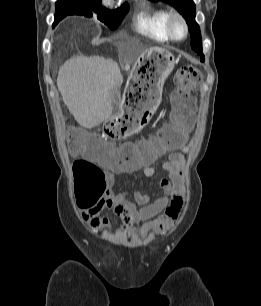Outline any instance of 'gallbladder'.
<instances>
[{
	"mask_svg": "<svg viewBox=\"0 0 261 306\" xmlns=\"http://www.w3.org/2000/svg\"><path fill=\"white\" fill-rule=\"evenodd\" d=\"M120 102V94L118 91L113 90L112 91V103L113 105H116Z\"/></svg>",
	"mask_w": 261,
	"mask_h": 306,
	"instance_id": "gallbladder-1",
	"label": "gallbladder"
}]
</instances>
